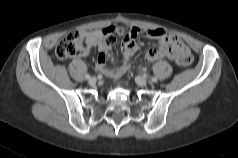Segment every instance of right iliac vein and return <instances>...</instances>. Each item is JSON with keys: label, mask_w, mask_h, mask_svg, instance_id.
Here are the masks:
<instances>
[{"label": "right iliac vein", "mask_w": 238, "mask_h": 158, "mask_svg": "<svg viewBox=\"0 0 238 158\" xmlns=\"http://www.w3.org/2000/svg\"><path fill=\"white\" fill-rule=\"evenodd\" d=\"M96 82H97V79H96L95 77H91V78L89 79V84H91V85L96 84Z\"/></svg>", "instance_id": "right-iliac-vein-1"}]
</instances>
